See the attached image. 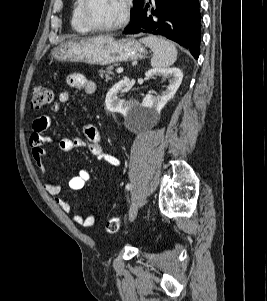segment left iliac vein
<instances>
[{"label": "left iliac vein", "instance_id": "4c4485c4", "mask_svg": "<svg viewBox=\"0 0 267 301\" xmlns=\"http://www.w3.org/2000/svg\"><path fill=\"white\" fill-rule=\"evenodd\" d=\"M138 207H139L138 201L136 199H133L129 209V219L131 222L136 218Z\"/></svg>", "mask_w": 267, "mask_h": 301}]
</instances>
